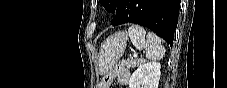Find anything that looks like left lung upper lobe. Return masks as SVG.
Segmentation results:
<instances>
[{"instance_id":"obj_1","label":"left lung upper lobe","mask_w":227,"mask_h":88,"mask_svg":"<svg viewBox=\"0 0 227 88\" xmlns=\"http://www.w3.org/2000/svg\"><path fill=\"white\" fill-rule=\"evenodd\" d=\"M122 0H99V2L105 7L109 12L114 13L116 7Z\"/></svg>"}]
</instances>
